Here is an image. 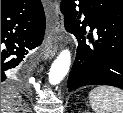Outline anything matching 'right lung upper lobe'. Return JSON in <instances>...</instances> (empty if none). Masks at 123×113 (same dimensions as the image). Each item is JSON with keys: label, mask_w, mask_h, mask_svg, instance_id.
I'll list each match as a JSON object with an SVG mask.
<instances>
[{"label": "right lung upper lobe", "mask_w": 123, "mask_h": 113, "mask_svg": "<svg viewBox=\"0 0 123 113\" xmlns=\"http://www.w3.org/2000/svg\"><path fill=\"white\" fill-rule=\"evenodd\" d=\"M15 0H1V8L10 5Z\"/></svg>", "instance_id": "cb5924a9"}]
</instances>
